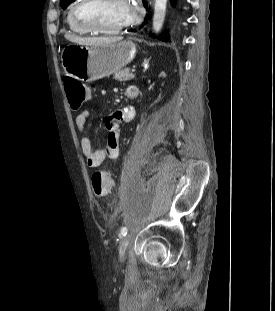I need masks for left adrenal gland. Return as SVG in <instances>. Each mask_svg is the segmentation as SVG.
Here are the masks:
<instances>
[{
  "label": "left adrenal gland",
  "mask_w": 275,
  "mask_h": 311,
  "mask_svg": "<svg viewBox=\"0 0 275 311\" xmlns=\"http://www.w3.org/2000/svg\"><path fill=\"white\" fill-rule=\"evenodd\" d=\"M149 60H150V59H144V62H143V64H142V66H143L145 69L148 68Z\"/></svg>",
  "instance_id": "1"
}]
</instances>
